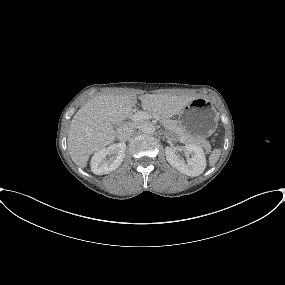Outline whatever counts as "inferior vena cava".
<instances>
[{"instance_id":"obj_1","label":"inferior vena cava","mask_w":285,"mask_h":285,"mask_svg":"<svg viewBox=\"0 0 285 285\" xmlns=\"http://www.w3.org/2000/svg\"><path fill=\"white\" fill-rule=\"evenodd\" d=\"M134 129V125L130 123L120 126L116 132L117 138L120 140L128 138L134 132Z\"/></svg>"}]
</instances>
